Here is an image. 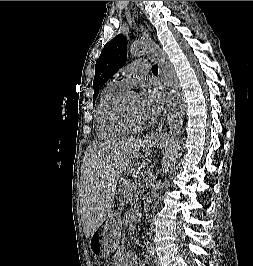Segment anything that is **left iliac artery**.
<instances>
[{
    "mask_svg": "<svg viewBox=\"0 0 253 266\" xmlns=\"http://www.w3.org/2000/svg\"><path fill=\"white\" fill-rule=\"evenodd\" d=\"M148 251H149L150 255H152V256L154 255V247L152 245L149 246Z\"/></svg>",
    "mask_w": 253,
    "mask_h": 266,
    "instance_id": "44dca946",
    "label": "left iliac artery"
}]
</instances>
